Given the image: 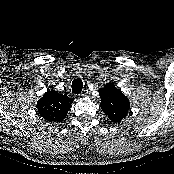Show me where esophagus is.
<instances>
[{"label": "esophagus", "instance_id": "1", "mask_svg": "<svg viewBox=\"0 0 174 174\" xmlns=\"http://www.w3.org/2000/svg\"><path fill=\"white\" fill-rule=\"evenodd\" d=\"M88 90L85 89L81 94H80V97H86L88 95Z\"/></svg>", "mask_w": 174, "mask_h": 174}]
</instances>
